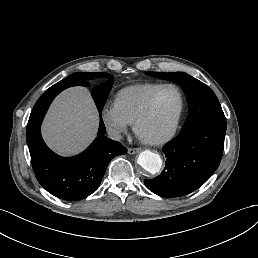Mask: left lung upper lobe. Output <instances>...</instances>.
Returning a JSON list of instances; mask_svg holds the SVG:
<instances>
[{
	"label": "left lung upper lobe",
	"instance_id": "5c2ea615",
	"mask_svg": "<svg viewBox=\"0 0 258 258\" xmlns=\"http://www.w3.org/2000/svg\"><path fill=\"white\" fill-rule=\"evenodd\" d=\"M147 74L172 81L182 87L189 103V115L180 134L209 125L226 129V118L220 103L207 85L183 72H148Z\"/></svg>",
	"mask_w": 258,
	"mask_h": 258
}]
</instances>
